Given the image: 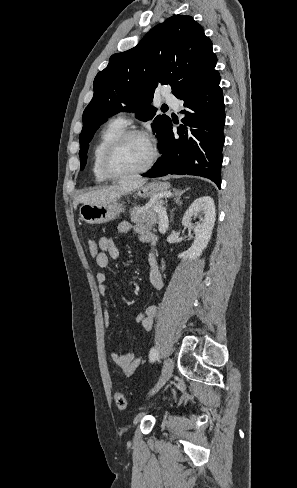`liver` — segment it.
<instances>
[{
    "instance_id": "liver-1",
    "label": "liver",
    "mask_w": 297,
    "mask_h": 488,
    "mask_svg": "<svg viewBox=\"0 0 297 488\" xmlns=\"http://www.w3.org/2000/svg\"><path fill=\"white\" fill-rule=\"evenodd\" d=\"M147 182V179L132 177L121 181L115 186L103 188L81 194L76 198V204H106L116 201L123 194L137 190Z\"/></svg>"
}]
</instances>
